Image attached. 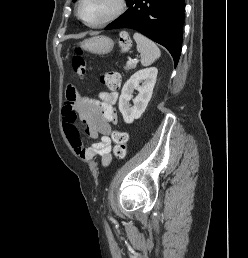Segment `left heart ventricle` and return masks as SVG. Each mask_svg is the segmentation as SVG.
I'll return each instance as SVG.
<instances>
[{"mask_svg": "<svg viewBox=\"0 0 248 258\" xmlns=\"http://www.w3.org/2000/svg\"><path fill=\"white\" fill-rule=\"evenodd\" d=\"M116 5L117 0H84L82 14L88 22H98L110 15Z\"/></svg>", "mask_w": 248, "mask_h": 258, "instance_id": "b2bd125f", "label": "left heart ventricle"}]
</instances>
